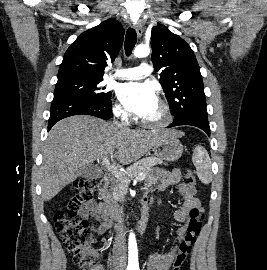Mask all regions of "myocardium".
I'll return each mask as SVG.
<instances>
[{"label": "myocardium", "mask_w": 267, "mask_h": 270, "mask_svg": "<svg viewBox=\"0 0 267 270\" xmlns=\"http://www.w3.org/2000/svg\"><path fill=\"white\" fill-rule=\"evenodd\" d=\"M158 105L161 110V118L157 121L141 119L140 123L143 127L158 130L167 127L172 122L173 116L168 103L164 100H159Z\"/></svg>", "instance_id": "f54148a6"}]
</instances>
